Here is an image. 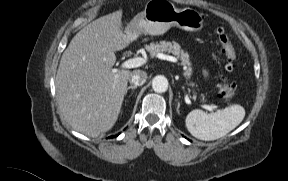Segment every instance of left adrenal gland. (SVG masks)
Instances as JSON below:
<instances>
[{
    "label": "left adrenal gland",
    "mask_w": 288,
    "mask_h": 181,
    "mask_svg": "<svg viewBox=\"0 0 288 181\" xmlns=\"http://www.w3.org/2000/svg\"><path fill=\"white\" fill-rule=\"evenodd\" d=\"M179 107H180V103L178 102V106H177V112L179 113Z\"/></svg>",
    "instance_id": "obj_1"
}]
</instances>
